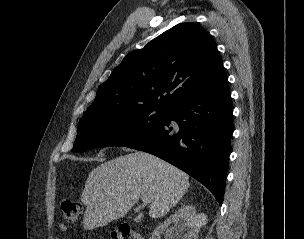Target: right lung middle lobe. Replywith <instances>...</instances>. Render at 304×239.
Returning <instances> with one entry per match:
<instances>
[{"instance_id": "dd1d6c3e", "label": "right lung middle lobe", "mask_w": 304, "mask_h": 239, "mask_svg": "<svg viewBox=\"0 0 304 239\" xmlns=\"http://www.w3.org/2000/svg\"><path fill=\"white\" fill-rule=\"evenodd\" d=\"M166 108L141 105L114 108L82 118L72 152L127 146L160 126Z\"/></svg>"}]
</instances>
